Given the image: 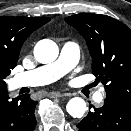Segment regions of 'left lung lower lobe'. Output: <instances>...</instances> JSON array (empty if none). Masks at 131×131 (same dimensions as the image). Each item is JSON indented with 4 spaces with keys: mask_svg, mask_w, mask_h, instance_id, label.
I'll return each mask as SVG.
<instances>
[{
    "mask_svg": "<svg viewBox=\"0 0 131 131\" xmlns=\"http://www.w3.org/2000/svg\"><path fill=\"white\" fill-rule=\"evenodd\" d=\"M77 131H131V108L108 99L76 125Z\"/></svg>",
    "mask_w": 131,
    "mask_h": 131,
    "instance_id": "obj_1",
    "label": "left lung lower lobe"
}]
</instances>
